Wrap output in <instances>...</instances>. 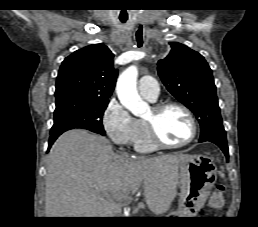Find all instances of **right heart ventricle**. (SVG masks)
Returning <instances> with one entry per match:
<instances>
[{
	"label": "right heart ventricle",
	"mask_w": 258,
	"mask_h": 227,
	"mask_svg": "<svg viewBox=\"0 0 258 227\" xmlns=\"http://www.w3.org/2000/svg\"><path fill=\"white\" fill-rule=\"evenodd\" d=\"M140 133L134 142V147L138 152L147 153L156 149V146L152 142L146 124L143 120H139Z\"/></svg>",
	"instance_id": "1"
}]
</instances>
